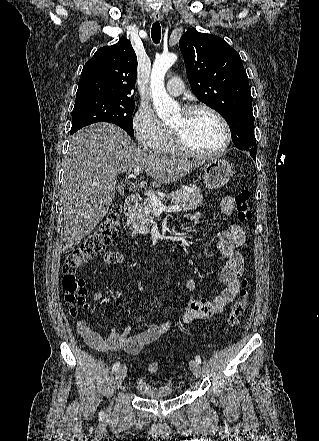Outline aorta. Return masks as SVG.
Masks as SVG:
<instances>
[{"mask_svg": "<svg viewBox=\"0 0 319 441\" xmlns=\"http://www.w3.org/2000/svg\"><path fill=\"white\" fill-rule=\"evenodd\" d=\"M174 53L162 54L154 61L150 88L153 104L158 117L164 121L169 120L178 111V103L169 97L164 86V78L168 69L176 62Z\"/></svg>", "mask_w": 319, "mask_h": 441, "instance_id": "obj_1", "label": "aorta"}]
</instances>
